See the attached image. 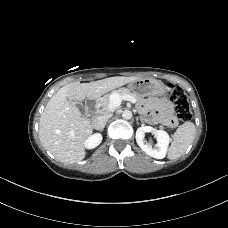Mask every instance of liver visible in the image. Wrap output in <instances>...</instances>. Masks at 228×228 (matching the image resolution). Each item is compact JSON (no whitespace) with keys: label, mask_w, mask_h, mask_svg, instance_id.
<instances>
[{"label":"liver","mask_w":228,"mask_h":228,"mask_svg":"<svg viewBox=\"0 0 228 228\" xmlns=\"http://www.w3.org/2000/svg\"><path fill=\"white\" fill-rule=\"evenodd\" d=\"M138 79L116 76L90 83L72 82L60 88L48 101L40 117L39 138L44 148L63 163L83 160L86 155L85 141L92 134L93 126L72 101L96 99Z\"/></svg>","instance_id":"1"}]
</instances>
